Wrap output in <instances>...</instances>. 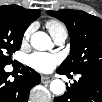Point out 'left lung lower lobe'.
I'll return each mask as SVG.
<instances>
[{
  "mask_svg": "<svg viewBox=\"0 0 102 102\" xmlns=\"http://www.w3.org/2000/svg\"><path fill=\"white\" fill-rule=\"evenodd\" d=\"M60 74H67L57 70ZM79 81H74L67 92L56 97L54 102H101L102 101V72H82Z\"/></svg>",
  "mask_w": 102,
  "mask_h": 102,
  "instance_id": "obj_1",
  "label": "left lung lower lobe"
}]
</instances>
